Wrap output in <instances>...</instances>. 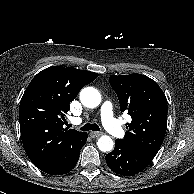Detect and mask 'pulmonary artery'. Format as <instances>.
<instances>
[{"mask_svg": "<svg viewBox=\"0 0 194 194\" xmlns=\"http://www.w3.org/2000/svg\"><path fill=\"white\" fill-rule=\"evenodd\" d=\"M101 121L105 129L115 137H123L124 129L114 118L113 105L109 101H105L100 110ZM80 120H77L79 122Z\"/></svg>", "mask_w": 194, "mask_h": 194, "instance_id": "pulmonary-artery-1", "label": "pulmonary artery"}]
</instances>
